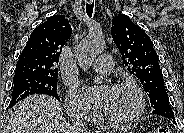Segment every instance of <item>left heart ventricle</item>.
<instances>
[{"instance_id":"b2bd125f","label":"left heart ventricle","mask_w":184,"mask_h":133,"mask_svg":"<svg viewBox=\"0 0 184 133\" xmlns=\"http://www.w3.org/2000/svg\"><path fill=\"white\" fill-rule=\"evenodd\" d=\"M137 107V99L130 89L113 88L103 113L115 119L131 115Z\"/></svg>"}]
</instances>
